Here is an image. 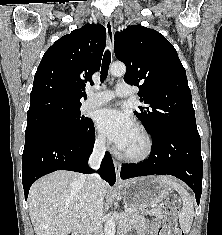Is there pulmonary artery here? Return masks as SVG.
Wrapping results in <instances>:
<instances>
[{
	"label": "pulmonary artery",
	"instance_id": "obj_1",
	"mask_svg": "<svg viewBox=\"0 0 222 235\" xmlns=\"http://www.w3.org/2000/svg\"><path fill=\"white\" fill-rule=\"evenodd\" d=\"M133 94L132 89L126 84H118L115 90H103L100 92H94L89 90L88 98L83 104V109L88 110L94 107L101 106L111 101L114 97H129Z\"/></svg>",
	"mask_w": 222,
	"mask_h": 235
}]
</instances>
